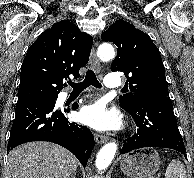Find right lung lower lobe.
Wrapping results in <instances>:
<instances>
[{"label":"right lung lower lobe","mask_w":194,"mask_h":178,"mask_svg":"<svg viewBox=\"0 0 194 178\" xmlns=\"http://www.w3.org/2000/svg\"><path fill=\"white\" fill-rule=\"evenodd\" d=\"M55 101H30L16 105L7 151L30 141H49L71 151L86 167L94 147L91 131L65 118L67 110H55ZM75 103L72 109H76Z\"/></svg>","instance_id":"obj_1"}]
</instances>
